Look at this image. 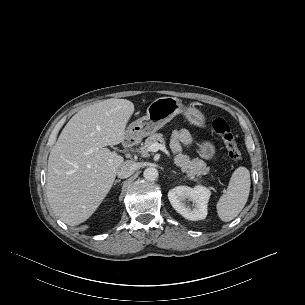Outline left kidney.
Wrapping results in <instances>:
<instances>
[{
    "instance_id": "1",
    "label": "left kidney",
    "mask_w": 305,
    "mask_h": 305,
    "mask_svg": "<svg viewBox=\"0 0 305 305\" xmlns=\"http://www.w3.org/2000/svg\"><path fill=\"white\" fill-rule=\"evenodd\" d=\"M210 191L206 187L178 186L168 192L172 207L184 218L192 221L205 219Z\"/></svg>"
}]
</instances>
